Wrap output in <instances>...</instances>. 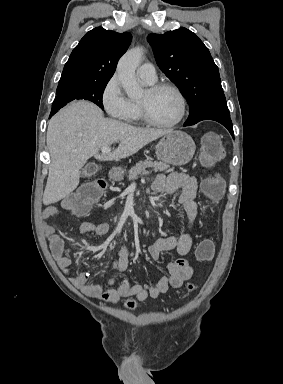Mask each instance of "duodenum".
<instances>
[{
    "label": "duodenum",
    "instance_id": "duodenum-1",
    "mask_svg": "<svg viewBox=\"0 0 283 384\" xmlns=\"http://www.w3.org/2000/svg\"><path fill=\"white\" fill-rule=\"evenodd\" d=\"M121 172L122 170L119 167H116V166L112 167L111 168L112 178L114 180H118L121 176Z\"/></svg>",
    "mask_w": 283,
    "mask_h": 384
}]
</instances>
